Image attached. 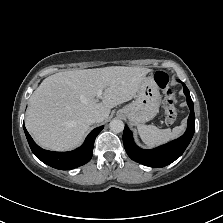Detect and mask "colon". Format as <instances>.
I'll return each mask as SVG.
<instances>
[{"instance_id":"5ec220e1","label":"colon","mask_w":223,"mask_h":223,"mask_svg":"<svg viewBox=\"0 0 223 223\" xmlns=\"http://www.w3.org/2000/svg\"><path fill=\"white\" fill-rule=\"evenodd\" d=\"M154 79L157 85L164 91V107L166 110L167 124H173L178 116V110L175 106V90L169 85V77L163 71H157L154 74Z\"/></svg>"}]
</instances>
